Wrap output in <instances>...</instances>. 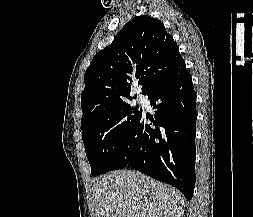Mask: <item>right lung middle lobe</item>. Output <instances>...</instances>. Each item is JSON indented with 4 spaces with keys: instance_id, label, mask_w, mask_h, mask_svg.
Wrapping results in <instances>:
<instances>
[{
    "instance_id": "right-lung-middle-lobe-1",
    "label": "right lung middle lobe",
    "mask_w": 253,
    "mask_h": 217,
    "mask_svg": "<svg viewBox=\"0 0 253 217\" xmlns=\"http://www.w3.org/2000/svg\"><path fill=\"white\" fill-rule=\"evenodd\" d=\"M142 110L126 101L110 107L81 124L91 174L111 171L132 126Z\"/></svg>"
}]
</instances>
